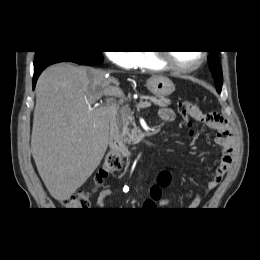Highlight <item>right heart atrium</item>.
Masks as SVG:
<instances>
[{
  "mask_svg": "<svg viewBox=\"0 0 260 260\" xmlns=\"http://www.w3.org/2000/svg\"><path fill=\"white\" fill-rule=\"evenodd\" d=\"M108 58L116 66L123 69H131L136 66L138 53L135 51H111Z\"/></svg>",
  "mask_w": 260,
  "mask_h": 260,
  "instance_id": "1",
  "label": "right heart atrium"
}]
</instances>
